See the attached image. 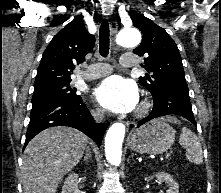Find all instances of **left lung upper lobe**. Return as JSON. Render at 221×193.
<instances>
[{
  "label": "left lung upper lobe",
  "mask_w": 221,
  "mask_h": 193,
  "mask_svg": "<svg viewBox=\"0 0 221 193\" xmlns=\"http://www.w3.org/2000/svg\"><path fill=\"white\" fill-rule=\"evenodd\" d=\"M131 19L143 34L140 46L133 53L145 56L143 67L151 73L140 77L139 83L153 96L160 94L164 87L187 85L182 59L174 40L163 28L142 14L135 12Z\"/></svg>",
  "instance_id": "left-lung-upper-lobe-1"
}]
</instances>
